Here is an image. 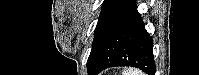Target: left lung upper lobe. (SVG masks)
Segmentation results:
<instances>
[{
	"mask_svg": "<svg viewBox=\"0 0 199 75\" xmlns=\"http://www.w3.org/2000/svg\"><path fill=\"white\" fill-rule=\"evenodd\" d=\"M121 1L122 0H104V2L102 4V11H101L97 26L94 31V40H93V44H92L91 53L94 50V48L98 42V39L100 37V34H101L105 24L107 23L110 16L114 13V11L116 10V8L118 7V5L120 4Z\"/></svg>",
	"mask_w": 199,
	"mask_h": 75,
	"instance_id": "left-lung-upper-lobe-1",
	"label": "left lung upper lobe"
}]
</instances>
